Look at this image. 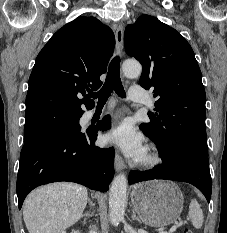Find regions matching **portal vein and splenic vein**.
<instances>
[{"mask_svg": "<svg viewBox=\"0 0 227 233\" xmlns=\"http://www.w3.org/2000/svg\"><path fill=\"white\" fill-rule=\"evenodd\" d=\"M176 228H177V225H173V226L171 227V229H170V233L174 232V231L176 230Z\"/></svg>", "mask_w": 227, "mask_h": 233, "instance_id": "1", "label": "portal vein and splenic vein"}]
</instances>
